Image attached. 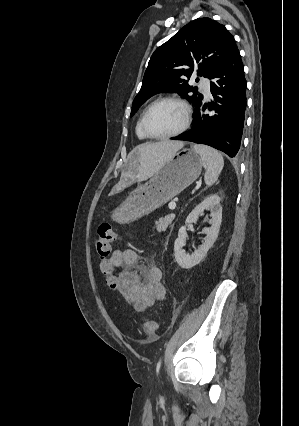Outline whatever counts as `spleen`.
<instances>
[{"label":"spleen","instance_id":"3e777b00","mask_svg":"<svg viewBox=\"0 0 299 426\" xmlns=\"http://www.w3.org/2000/svg\"><path fill=\"white\" fill-rule=\"evenodd\" d=\"M194 150L200 155L206 170L204 180L210 186L214 184L224 166L222 155L215 149L205 145H194Z\"/></svg>","mask_w":299,"mask_h":426}]
</instances>
